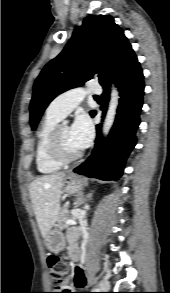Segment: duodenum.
<instances>
[{
    "label": "duodenum",
    "mask_w": 170,
    "mask_h": 293,
    "mask_svg": "<svg viewBox=\"0 0 170 293\" xmlns=\"http://www.w3.org/2000/svg\"><path fill=\"white\" fill-rule=\"evenodd\" d=\"M70 254L72 257L78 256V250H77L75 244H73V243L70 245Z\"/></svg>",
    "instance_id": "obj_1"
}]
</instances>
